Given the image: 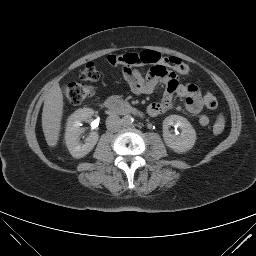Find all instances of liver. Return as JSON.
I'll return each instance as SVG.
<instances>
[{"mask_svg":"<svg viewBox=\"0 0 256 256\" xmlns=\"http://www.w3.org/2000/svg\"><path fill=\"white\" fill-rule=\"evenodd\" d=\"M63 106L61 88L58 83H55L47 93L42 112V129L50 147H55L58 144Z\"/></svg>","mask_w":256,"mask_h":256,"instance_id":"6515ba94","label":"liver"}]
</instances>
